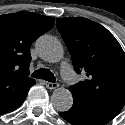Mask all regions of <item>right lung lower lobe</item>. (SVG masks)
I'll list each match as a JSON object with an SVG mask.
<instances>
[{"label":"right lung lower lobe","mask_w":125,"mask_h":125,"mask_svg":"<svg viewBox=\"0 0 125 125\" xmlns=\"http://www.w3.org/2000/svg\"><path fill=\"white\" fill-rule=\"evenodd\" d=\"M30 87L22 91H12L0 96V114L12 112L20 107L24 102Z\"/></svg>","instance_id":"1"}]
</instances>
